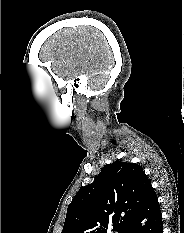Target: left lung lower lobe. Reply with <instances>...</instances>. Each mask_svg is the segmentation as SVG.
Here are the masks:
<instances>
[{
	"instance_id": "left-lung-lower-lobe-1",
	"label": "left lung lower lobe",
	"mask_w": 184,
	"mask_h": 233,
	"mask_svg": "<svg viewBox=\"0 0 184 233\" xmlns=\"http://www.w3.org/2000/svg\"><path fill=\"white\" fill-rule=\"evenodd\" d=\"M127 233H163L162 214L154 190L147 196Z\"/></svg>"
}]
</instances>
